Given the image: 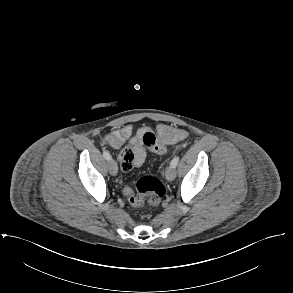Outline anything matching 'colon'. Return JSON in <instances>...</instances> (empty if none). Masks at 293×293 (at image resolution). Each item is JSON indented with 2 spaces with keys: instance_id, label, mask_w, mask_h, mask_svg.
<instances>
[{
  "instance_id": "obj_1",
  "label": "colon",
  "mask_w": 293,
  "mask_h": 293,
  "mask_svg": "<svg viewBox=\"0 0 293 293\" xmlns=\"http://www.w3.org/2000/svg\"><path fill=\"white\" fill-rule=\"evenodd\" d=\"M143 143L156 154H165L167 152L166 146L158 142L155 135L150 131L144 133ZM124 193L129 203L134 207L141 206L146 201L152 206H157L162 202L166 188L158 178L145 175L138 180L136 193H133L128 186L124 188Z\"/></svg>"
}]
</instances>
